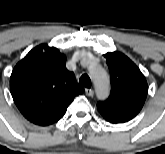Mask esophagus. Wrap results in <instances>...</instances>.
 <instances>
[{
	"label": "esophagus",
	"mask_w": 165,
	"mask_h": 154,
	"mask_svg": "<svg viewBox=\"0 0 165 154\" xmlns=\"http://www.w3.org/2000/svg\"><path fill=\"white\" fill-rule=\"evenodd\" d=\"M85 93H86L87 96H91L92 97L94 95V90L93 89H86Z\"/></svg>",
	"instance_id": "esophagus-1"
}]
</instances>
